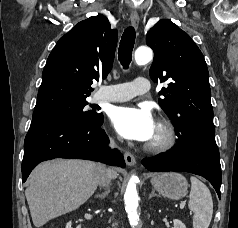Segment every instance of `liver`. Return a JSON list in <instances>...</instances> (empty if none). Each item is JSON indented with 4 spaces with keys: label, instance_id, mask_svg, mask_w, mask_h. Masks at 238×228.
<instances>
[{
    "label": "liver",
    "instance_id": "liver-1",
    "mask_svg": "<svg viewBox=\"0 0 238 228\" xmlns=\"http://www.w3.org/2000/svg\"><path fill=\"white\" fill-rule=\"evenodd\" d=\"M102 165L85 160L56 159L38 165L28 178L25 196L35 227L76 210L97 188ZM112 178L118 173L111 171Z\"/></svg>",
    "mask_w": 238,
    "mask_h": 228
}]
</instances>
